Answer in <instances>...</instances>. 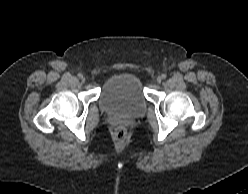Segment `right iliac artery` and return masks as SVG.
<instances>
[{"label": "right iliac artery", "mask_w": 248, "mask_h": 194, "mask_svg": "<svg viewBox=\"0 0 248 194\" xmlns=\"http://www.w3.org/2000/svg\"><path fill=\"white\" fill-rule=\"evenodd\" d=\"M79 78L83 77V75L81 73H78L77 75Z\"/></svg>", "instance_id": "right-iliac-artery-1"}]
</instances>
